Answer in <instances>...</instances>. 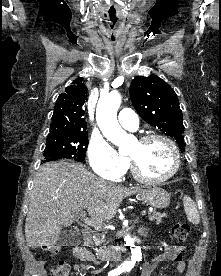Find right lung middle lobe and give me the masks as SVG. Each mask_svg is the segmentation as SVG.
<instances>
[{"instance_id": "obj_1", "label": "right lung middle lobe", "mask_w": 221, "mask_h": 276, "mask_svg": "<svg viewBox=\"0 0 221 276\" xmlns=\"http://www.w3.org/2000/svg\"><path fill=\"white\" fill-rule=\"evenodd\" d=\"M88 133L47 137L43 162L74 159L83 161L88 146Z\"/></svg>"}]
</instances>
